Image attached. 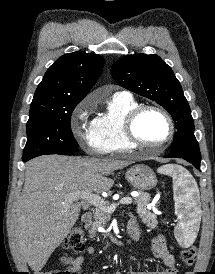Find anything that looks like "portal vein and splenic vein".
Segmentation results:
<instances>
[{"instance_id":"18ae733b","label":"portal vein and splenic vein","mask_w":215,"mask_h":274,"mask_svg":"<svg viewBox=\"0 0 215 274\" xmlns=\"http://www.w3.org/2000/svg\"><path fill=\"white\" fill-rule=\"evenodd\" d=\"M135 196H137V194ZM66 199L69 201L81 199L84 201L85 204L94 205L96 208H100L101 210L109 214L113 213L119 204L129 205L132 203V198L125 197L122 198L120 202L117 204L106 205L104 199H102L96 194H92L85 191H75L73 193H69L66 195Z\"/></svg>"}]
</instances>
